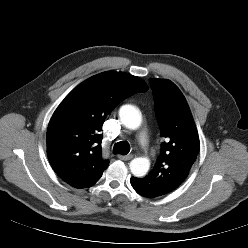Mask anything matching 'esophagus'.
I'll return each mask as SVG.
<instances>
[{
	"instance_id": "1",
	"label": "esophagus",
	"mask_w": 248,
	"mask_h": 248,
	"mask_svg": "<svg viewBox=\"0 0 248 248\" xmlns=\"http://www.w3.org/2000/svg\"><path fill=\"white\" fill-rule=\"evenodd\" d=\"M118 158L120 159V160H124V161H128V160H131L132 158H133V155L131 154V155H118Z\"/></svg>"
}]
</instances>
